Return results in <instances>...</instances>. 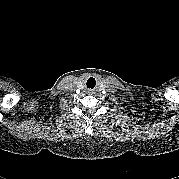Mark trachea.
I'll return each instance as SVG.
<instances>
[{
    "label": "trachea",
    "mask_w": 179,
    "mask_h": 179,
    "mask_svg": "<svg viewBox=\"0 0 179 179\" xmlns=\"http://www.w3.org/2000/svg\"><path fill=\"white\" fill-rule=\"evenodd\" d=\"M88 88H94L96 86V79L94 77H89L87 79V83H86Z\"/></svg>",
    "instance_id": "obj_1"
}]
</instances>
